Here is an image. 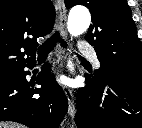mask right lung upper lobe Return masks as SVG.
<instances>
[{"label":"right lung upper lobe","instance_id":"1","mask_svg":"<svg viewBox=\"0 0 142 128\" xmlns=\"http://www.w3.org/2000/svg\"><path fill=\"white\" fill-rule=\"evenodd\" d=\"M54 16L50 0H0V77L35 63L37 38L51 31Z\"/></svg>","mask_w":142,"mask_h":128}]
</instances>
